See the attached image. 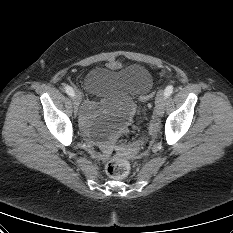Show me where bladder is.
<instances>
[{
    "instance_id": "bladder-1",
    "label": "bladder",
    "mask_w": 233,
    "mask_h": 233,
    "mask_svg": "<svg viewBox=\"0 0 233 233\" xmlns=\"http://www.w3.org/2000/svg\"><path fill=\"white\" fill-rule=\"evenodd\" d=\"M84 84L92 95L112 97L111 101L99 105V116L91 119L96 105L86 121L88 134L96 140H102L113 135L128 122L134 110L130 99L149 94L153 87V78L149 70L140 64L121 69L97 67L86 74Z\"/></svg>"
}]
</instances>
